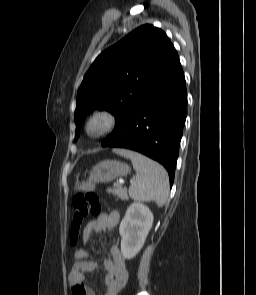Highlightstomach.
<instances>
[{"mask_svg": "<svg viewBox=\"0 0 256 295\" xmlns=\"http://www.w3.org/2000/svg\"><path fill=\"white\" fill-rule=\"evenodd\" d=\"M130 167L123 162L116 160H103L96 164L89 173L86 181H76L75 187L82 191H93L96 183L111 182L120 176H126Z\"/></svg>", "mask_w": 256, "mask_h": 295, "instance_id": "1", "label": "stomach"}]
</instances>
